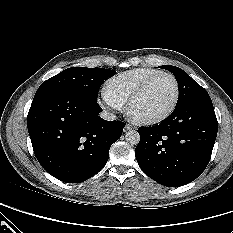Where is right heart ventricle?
<instances>
[{"label":"right heart ventricle","instance_id":"e07e8e85","mask_svg":"<svg viewBox=\"0 0 233 233\" xmlns=\"http://www.w3.org/2000/svg\"><path fill=\"white\" fill-rule=\"evenodd\" d=\"M160 71L150 67L135 68L112 77L105 87L115 99L124 105L143 82Z\"/></svg>","mask_w":233,"mask_h":233}]
</instances>
